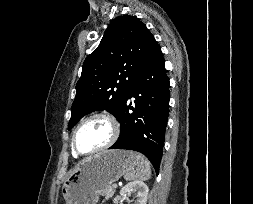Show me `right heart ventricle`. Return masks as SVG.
I'll return each mask as SVG.
<instances>
[{
    "label": "right heart ventricle",
    "mask_w": 253,
    "mask_h": 204,
    "mask_svg": "<svg viewBox=\"0 0 253 204\" xmlns=\"http://www.w3.org/2000/svg\"><path fill=\"white\" fill-rule=\"evenodd\" d=\"M73 155L75 156V157H77V155L73 152Z\"/></svg>",
    "instance_id": "e07e8e85"
}]
</instances>
